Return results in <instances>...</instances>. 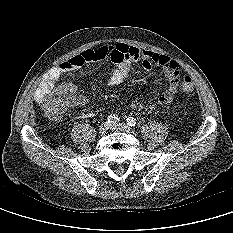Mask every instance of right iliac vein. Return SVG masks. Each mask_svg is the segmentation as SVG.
Returning <instances> with one entry per match:
<instances>
[{
	"label": "right iliac vein",
	"mask_w": 233,
	"mask_h": 233,
	"mask_svg": "<svg viewBox=\"0 0 233 233\" xmlns=\"http://www.w3.org/2000/svg\"><path fill=\"white\" fill-rule=\"evenodd\" d=\"M110 125H111V124L108 123V122L102 123V124L99 126V129H98L99 133H101V134L106 133V131L110 128Z\"/></svg>",
	"instance_id": "obj_1"
}]
</instances>
